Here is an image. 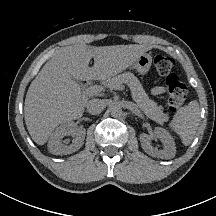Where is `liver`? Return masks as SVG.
<instances>
[{
	"mask_svg": "<svg viewBox=\"0 0 216 216\" xmlns=\"http://www.w3.org/2000/svg\"><path fill=\"white\" fill-rule=\"evenodd\" d=\"M150 48L138 45L88 46L58 50L42 67L26 94L24 115L31 138L44 145L61 123L83 115L88 96L74 79L103 81L130 67ZM94 59V65L89 62Z\"/></svg>",
	"mask_w": 216,
	"mask_h": 216,
	"instance_id": "obj_1",
	"label": "liver"
}]
</instances>
